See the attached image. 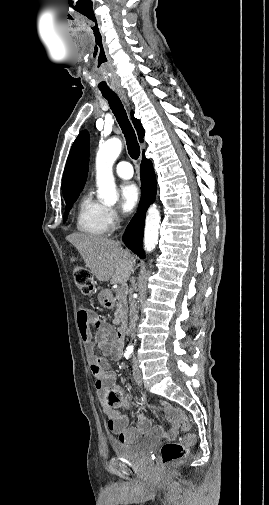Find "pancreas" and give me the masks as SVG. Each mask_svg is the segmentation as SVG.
I'll return each instance as SVG.
<instances>
[{"mask_svg": "<svg viewBox=\"0 0 269 505\" xmlns=\"http://www.w3.org/2000/svg\"><path fill=\"white\" fill-rule=\"evenodd\" d=\"M116 309L114 312V324H124L127 319V301L126 294L123 290L119 293L116 290Z\"/></svg>", "mask_w": 269, "mask_h": 505, "instance_id": "cf45deb5", "label": "pancreas"}]
</instances>
